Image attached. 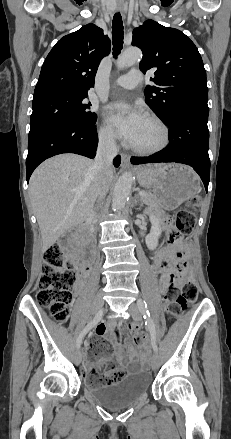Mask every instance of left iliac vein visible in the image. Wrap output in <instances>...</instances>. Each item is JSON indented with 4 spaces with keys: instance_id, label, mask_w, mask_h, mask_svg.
I'll return each instance as SVG.
<instances>
[{
    "instance_id": "left-iliac-vein-1",
    "label": "left iliac vein",
    "mask_w": 231,
    "mask_h": 439,
    "mask_svg": "<svg viewBox=\"0 0 231 439\" xmlns=\"http://www.w3.org/2000/svg\"><path fill=\"white\" fill-rule=\"evenodd\" d=\"M129 311L133 315L134 319L139 321L141 319V315L143 314L142 309L138 306V304H131L129 307ZM151 366L154 371H156L160 366V357L157 353H154L151 359Z\"/></svg>"
}]
</instances>
